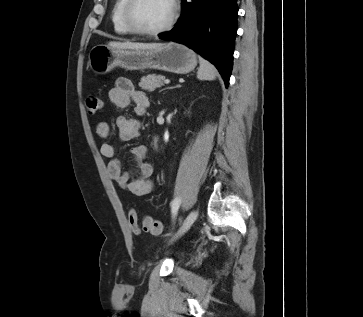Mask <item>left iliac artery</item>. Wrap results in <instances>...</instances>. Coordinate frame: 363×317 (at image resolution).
<instances>
[{
    "label": "left iliac artery",
    "mask_w": 363,
    "mask_h": 317,
    "mask_svg": "<svg viewBox=\"0 0 363 317\" xmlns=\"http://www.w3.org/2000/svg\"><path fill=\"white\" fill-rule=\"evenodd\" d=\"M180 203H181V199H180V198H175V199L172 201L171 209H172V215H173V217H175V216H176L177 211H178L179 206H180Z\"/></svg>",
    "instance_id": "obj_1"
}]
</instances>
